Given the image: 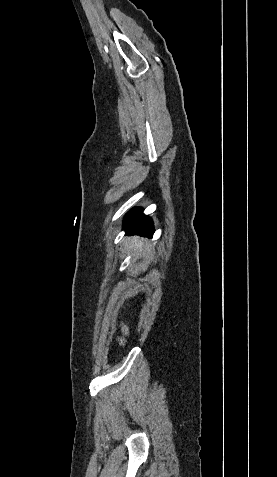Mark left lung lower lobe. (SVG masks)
Returning <instances> with one entry per match:
<instances>
[{"mask_svg":"<svg viewBox=\"0 0 277 477\" xmlns=\"http://www.w3.org/2000/svg\"><path fill=\"white\" fill-rule=\"evenodd\" d=\"M123 229L127 235L138 234L151 238L154 233L152 220L140 208L133 209L124 219Z\"/></svg>","mask_w":277,"mask_h":477,"instance_id":"left-lung-lower-lobe-1","label":"left lung lower lobe"}]
</instances>
